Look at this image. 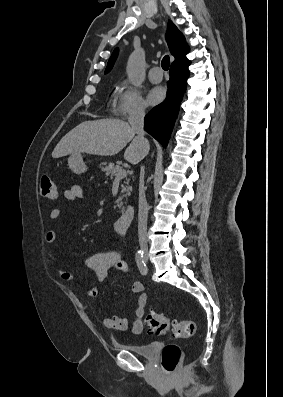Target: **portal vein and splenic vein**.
I'll use <instances>...</instances> for the list:
<instances>
[{"mask_svg": "<svg viewBox=\"0 0 283 397\" xmlns=\"http://www.w3.org/2000/svg\"><path fill=\"white\" fill-rule=\"evenodd\" d=\"M126 175H127L126 170L121 168V169L118 170V172H117V174L115 176V180H120V179L126 177Z\"/></svg>", "mask_w": 283, "mask_h": 397, "instance_id": "portal-vein-and-splenic-vein-1", "label": "portal vein and splenic vein"}]
</instances>
